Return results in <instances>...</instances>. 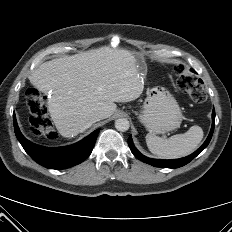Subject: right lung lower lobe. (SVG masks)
I'll return each instance as SVG.
<instances>
[{
    "mask_svg": "<svg viewBox=\"0 0 232 232\" xmlns=\"http://www.w3.org/2000/svg\"><path fill=\"white\" fill-rule=\"evenodd\" d=\"M13 121L16 137L27 154L38 164L50 169H65L83 162L91 154L99 133V130H96L74 145L47 148L25 139L19 131L15 115Z\"/></svg>",
    "mask_w": 232,
    "mask_h": 232,
    "instance_id": "98d812e1",
    "label": "right lung lower lobe"
}]
</instances>
